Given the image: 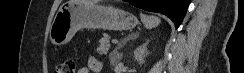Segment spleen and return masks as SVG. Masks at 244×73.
Segmentation results:
<instances>
[{
  "label": "spleen",
  "instance_id": "1",
  "mask_svg": "<svg viewBox=\"0 0 244 73\" xmlns=\"http://www.w3.org/2000/svg\"><path fill=\"white\" fill-rule=\"evenodd\" d=\"M140 17H141L142 23L144 24V26L147 29H153L161 23L160 18L153 16V15L141 14Z\"/></svg>",
  "mask_w": 244,
  "mask_h": 73
}]
</instances>
